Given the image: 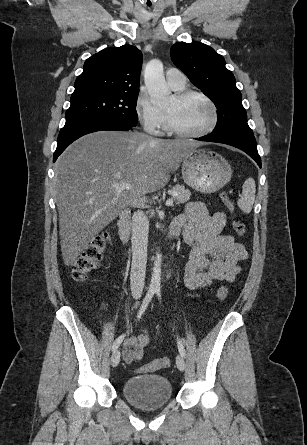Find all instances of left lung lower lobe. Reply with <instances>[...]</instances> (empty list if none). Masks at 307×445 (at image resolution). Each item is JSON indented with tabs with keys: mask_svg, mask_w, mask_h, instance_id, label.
I'll return each mask as SVG.
<instances>
[{
	"mask_svg": "<svg viewBox=\"0 0 307 445\" xmlns=\"http://www.w3.org/2000/svg\"><path fill=\"white\" fill-rule=\"evenodd\" d=\"M200 141L217 142L228 144L239 148L253 158L261 168V159L257 151V144L253 134L230 132L220 134H209L200 138Z\"/></svg>",
	"mask_w": 307,
	"mask_h": 445,
	"instance_id": "0a47b994",
	"label": "left lung lower lobe"
}]
</instances>
